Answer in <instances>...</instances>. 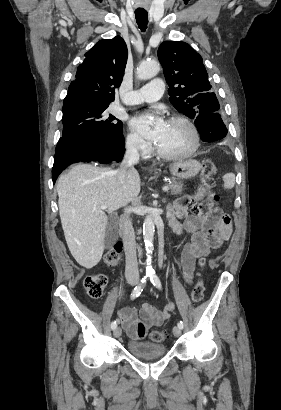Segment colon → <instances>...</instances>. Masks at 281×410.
<instances>
[{
	"label": "colon",
	"mask_w": 281,
	"mask_h": 410,
	"mask_svg": "<svg viewBox=\"0 0 281 410\" xmlns=\"http://www.w3.org/2000/svg\"><path fill=\"white\" fill-rule=\"evenodd\" d=\"M217 173V167L215 163L207 159L203 162V167L201 171V182L207 194V199L196 205V212L200 214H209L219 211V197L213 191L214 186V176ZM225 223L231 222L228 215L223 216ZM122 252V244L117 243L111 249H109L104 255V262L110 266L115 267L120 263V257ZM205 263L204 259L200 260V266ZM107 284V279L102 274L89 275L84 279V288L86 294L91 299H100L103 296L105 286ZM204 297V284L202 280H198L194 285L191 292V301L193 304H198L203 300ZM149 338L152 342H163L167 338V333L163 330H152L149 332Z\"/></svg>",
	"instance_id": "colon-1"
}]
</instances>
